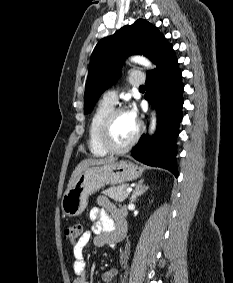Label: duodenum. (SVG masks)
Here are the masks:
<instances>
[{"instance_id": "duodenum-1", "label": "duodenum", "mask_w": 233, "mask_h": 283, "mask_svg": "<svg viewBox=\"0 0 233 283\" xmlns=\"http://www.w3.org/2000/svg\"><path fill=\"white\" fill-rule=\"evenodd\" d=\"M125 231H126V225H125V222L123 221H120L117 225V229L114 233V241L117 243V242H120L123 238H124V235H125Z\"/></svg>"}]
</instances>
